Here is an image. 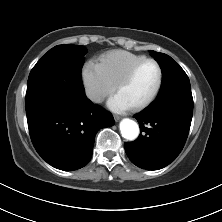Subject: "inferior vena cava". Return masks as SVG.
<instances>
[{
	"instance_id": "602c4592",
	"label": "inferior vena cava",
	"mask_w": 222,
	"mask_h": 222,
	"mask_svg": "<svg viewBox=\"0 0 222 222\" xmlns=\"http://www.w3.org/2000/svg\"><path fill=\"white\" fill-rule=\"evenodd\" d=\"M87 96L94 102H101L102 101V96L95 92L88 91Z\"/></svg>"
}]
</instances>
